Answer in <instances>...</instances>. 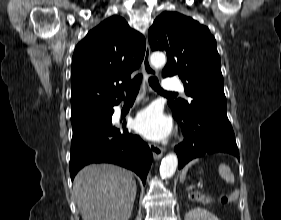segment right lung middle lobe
Wrapping results in <instances>:
<instances>
[{
	"mask_svg": "<svg viewBox=\"0 0 281 220\" xmlns=\"http://www.w3.org/2000/svg\"><path fill=\"white\" fill-rule=\"evenodd\" d=\"M91 116H92V115H91ZM87 117H89V116H87ZM84 118H86V117H84ZM84 118L71 119V122H72V124H73V123H75V122H77V121H79V120H81V119H84Z\"/></svg>",
	"mask_w": 281,
	"mask_h": 220,
	"instance_id": "obj_1",
	"label": "right lung middle lobe"
}]
</instances>
